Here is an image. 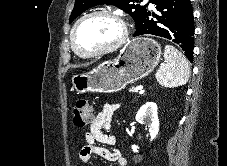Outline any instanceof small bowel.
Returning <instances> with one entry per match:
<instances>
[{
	"label": "small bowel",
	"instance_id": "small-bowel-1",
	"mask_svg": "<svg viewBox=\"0 0 227 166\" xmlns=\"http://www.w3.org/2000/svg\"><path fill=\"white\" fill-rule=\"evenodd\" d=\"M117 109V104H105L99 113L93 117L89 131L84 136L85 145L79 155L85 166H92L94 156L114 162L116 166H126V160L118 150H110L105 147L112 146L115 143L114 137L110 134V128L113 115Z\"/></svg>",
	"mask_w": 227,
	"mask_h": 166
}]
</instances>
